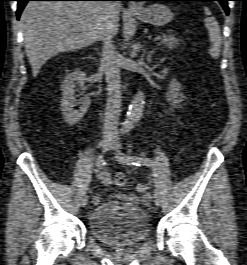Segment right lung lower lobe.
Here are the masks:
<instances>
[{"label": "right lung lower lobe", "mask_w": 247, "mask_h": 265, "mask_svg": "<svg viewBox=\"0 0 247 265\" xmlns=\"http://www.w3.org/2000/svg\"><path fill=\"white\" fill-rule=\"evenodd\" d=\"M18 1L17 19L28 1H106V0H16ZM112 1H126V0H112Z\"/></svg>", "instance_id": "1"}]
</instances>
